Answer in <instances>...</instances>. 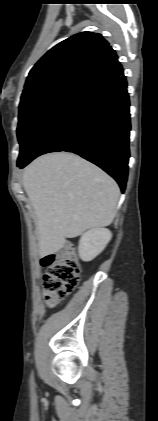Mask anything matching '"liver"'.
Here are the masks:
<instances>
[{
	"instance_id": "liver-1",
	"label": "liver",
	"mask_w": 158,
	"mask_h": 421,
	"mask_svg": "<svg viewBox=\"0 0 158 421\" xmlns=\"http://www.w3.org/2000/svg\"><path fill=\"white\" fill-rule=\"evenodd\" d=\"M23 186L36 215L41 256L57 253L66 238L111 224L120 195L104 171L65 152L35 159L24 170Z\"/></svg>"
}]
</instances>
